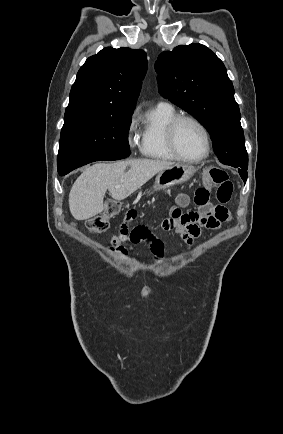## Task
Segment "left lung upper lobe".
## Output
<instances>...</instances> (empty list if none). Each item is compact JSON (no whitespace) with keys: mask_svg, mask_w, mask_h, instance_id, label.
Returning a JSON list of instances; mask_svg holds the SVG:
<instances>
[{"mask_svg":"<svg viewBox=\"0 0 283 434\" xmlns=\"http://www.w3.org/2000/svg\"><path fill=\"white\" fill-rule=\"evenodd\" d=\"M159 93L194 116L210 133L221 163L248 166L239 106L223 62L206 46L180 45L158 56Z\"/></svg>","mask_w":283,"mask_h":434,"instance_id":"1","label":"left lung upper lobe"}]
</instances>
